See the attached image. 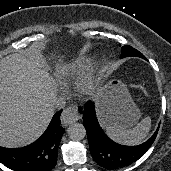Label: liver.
I'll return each mask as SVG.
<instances>
[{"label":"liver","instance_id":"6515ba94","mask_svg":"<svg viewBox=\"0 0 171 171\" xmlns=\"http://www.w3.org/2000/svg\"><path fill=\"white\" fill-rule=\"evenodd\" d=\"M56 92L43 65L21 54L0 60V146L16 148L38 139L53 114ZM98 115L102 102L98 100Z\"/></svg>","mask_w":171,"mask_h":171}]
</instances>
